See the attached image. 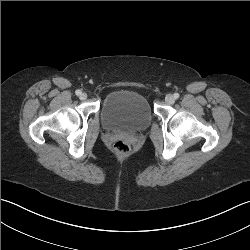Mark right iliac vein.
<instances>
[{"label": "right iliac vein", "mask_w": 250, "mask_h": 250, "mask_svg": "<svg viewBox=\"0 0 250 250\" xmlns=\"http://www.w3.org/2000/svg\"><path fill=\"white\" fill-rule=\"evenodd\" d=\"M86 98H87V94L86 93H81L80 99L85 100Z\"/></svg>", "instance_id": "obj_1"}]
</instances>
